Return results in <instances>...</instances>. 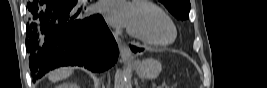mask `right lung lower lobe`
<instances>
[{
	"mask_svg": "<svg viewBox=\"0 0 267 88\" xmlns=\"http://www.w3.org/2000/svg\"><path fill=\"white\" fill-rule=\"evenodd\" d=\"M77 0H34L27 4L26 49L33 82L61 66L102 72L115 64L118 46L99 14L80 17Z\"/></svg>",
	"mask_w": 267,
	"mask_h": 88,
	"instance_id": "1",
	"label": "right lung lower lobe"
}]
</instances>
